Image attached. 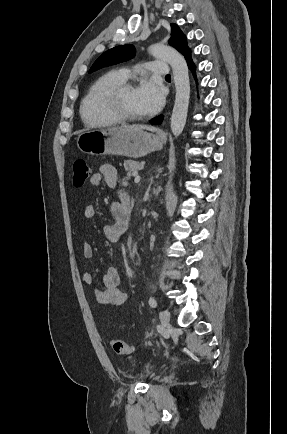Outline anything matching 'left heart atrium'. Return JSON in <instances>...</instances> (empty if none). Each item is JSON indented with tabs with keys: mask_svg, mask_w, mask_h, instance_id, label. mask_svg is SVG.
Returning <instances> with one entry per match:
<instances>
[{
	"mask_svg": "<svg viewBox=\"0 0 287 434\" xmlns=\"http://www.w3.org/2000/svg\"><path fill=\"white\" fill-rule=\"evenodd\" d=\"M136 96L145 114L156 113L165 102V90L155 81L141 83L136 89Z\"/></svg>",
	"mask_w": 287,
	"mask_h": 434,
	"instance_id": "1",
	"label": "left heart atrium"
}]
</instances>
